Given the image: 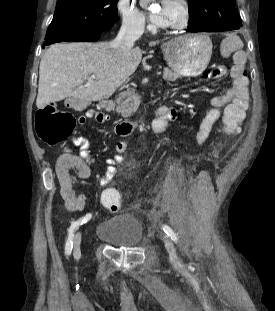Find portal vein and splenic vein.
<instances>
[{
    "label": "portal vein and splenic vein",
    "instance_id": "18ae733b",
    "mask_svg": "<svg viewBox=\"0 0 275 311\" xmlns=\"http://www.w3.org/2000/svg\"><path fill=\"white\" fill-rule=\"evenodd\" d=\"M156 75H161V72L158 71V72L156 73ZM83 78L86 79V80H88V81H92V80H94L96 77H95V75H91V76H84Z\"/></svg>",
    "mask_w": 275,
    "mask_h": 311
}]
</instances>
